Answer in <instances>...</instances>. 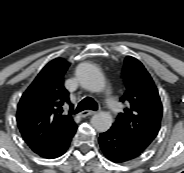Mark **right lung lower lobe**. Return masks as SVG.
I'll list each match as a JSON object with an SVG mask.
<instances>
[{
	"mask_svg": "<svg viewBox=\"0 0 184 173\" xmlns=\"http://www.w3.org/2000/svg\"><path fill=\"white\" fill-rule=\"evenodd\" d=\"M77 126L69 130L66 134H64L61 138H59L56 142H54L51 146L34 151L39 156L46 159H54L62 156L66 150L68 149L72 137L76 132Z\"/></svg>",
	"mask_w": 184,
	"mask_h": 173,
	"instance_id": "1",
	"label": "right lung lower lobe"
}]
</instances>
